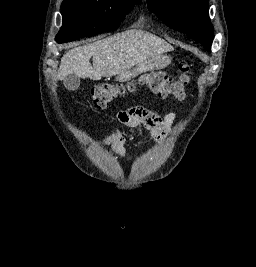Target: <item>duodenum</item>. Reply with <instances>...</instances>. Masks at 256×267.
<instances>
[{
	"label": "duodenum",
	"instance_id": "duodenum-1",
	"mask_svg": "<svg viewBox=\"0 0 256 267\" xmlns=\"http://www.w3.org/2000/svg\"><path fill=\"white\" fill-rule=\"evenodd\" d=\"M154 66H143L142 68L129 67V70H123V74L118 77V82H127L128 79H134V73H150L154 71Z\"/></svg>",
	"mask_w": 256,
	"mask_h": 267
}]
</instances>
